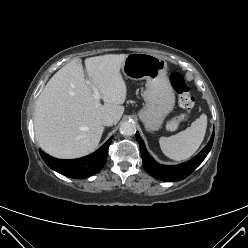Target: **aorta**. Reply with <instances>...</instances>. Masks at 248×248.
I'll return each mask as SVG.
<instances>
[{
  "mask_svg": "<svg viewBox=\"0 0 248 248\" xmlns=\"http://www.w3.org/2000/svg\"><path fill=\"white\" fill-rule=\"evenodd\" d=\"M119 131L124 136H131L136 132V125L130 121L123 122L120 125Z\"/></svg>",
  "mask_w": 248,
  "mask_h": 248,
  "instance_id": "1",
  "label": "aorta"
}]
</instances>
